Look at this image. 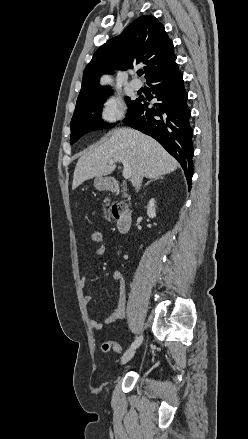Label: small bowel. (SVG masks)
<instances>
[{
  "instance_id": "1",
  "label": "small bowel",
  "mask_w": 248,
  "mask_h": 439,
  "mask_svg": "<svg viewBox=\"0 0 248 439\" xmlns=\"http://www.w3.org/2000/svg\"><path fill=\"white\" fill-rule=\"evenodd\" d=\"M106 252V246L104 244L99 245L95 250V255L100 256ZM113 280L119 285V299L118 305L112 310V312L107 316L104 323H101L96 320H90V325L95 330H101L104 324L109 325L121 321L126 316V283L124 276L121 271L116 270L113 272ZM81 286L85 287V278L81 280ZM84 301L86 304L92 301V297L87 295L84 297Z\"/></svg>"
}]
</instances>
